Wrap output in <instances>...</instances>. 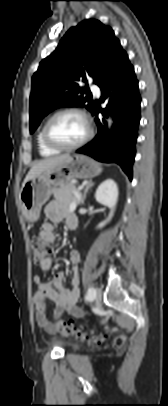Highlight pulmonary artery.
<instances>
[{"instance_id": "e3ab8cb5", "label": "pulmonary artery", "mask_w": 168, "mask_h": 406, "mask_svg": "<svg viewBox=\"0 0 168 406\" xmlns=\"http://www.w3.org/2000/svg\"><path fill=\"white\" fill-rule=\"evenodd\" d=\"M90 87H91V90L93 91V93H94L95 95H99L100 90H99V88H98L96 85H94L93 83H91V84H90Z\"/></svg>"}]
</instances>
